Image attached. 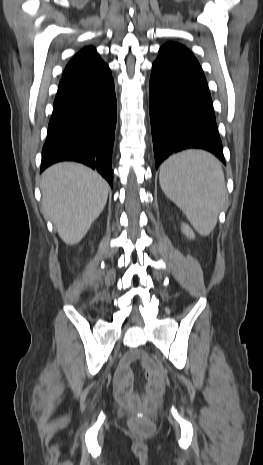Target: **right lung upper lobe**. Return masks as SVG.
I'll return each mask as SVG.
<instances>
[{
  "label": "right lung upper lobe",
  "mask_w": 263,
  "mask_h": 465,
  "mask_svg": "<svg viewBox=\"0 0 263 465\" xmlns=\"http://www.w3.org/2000/svg\"><path fill=\"white\" fill-rule=\"evenodd\" d=\"M105 66L93 47L84 48L69 61L63 77L99 70Z\"/></svg>",
  "instance_id": "1"
}]
</instances>
